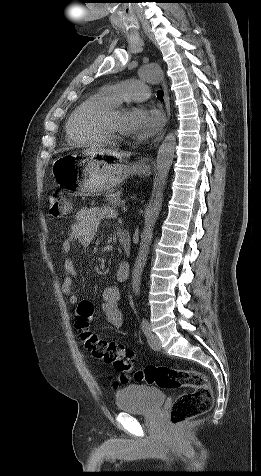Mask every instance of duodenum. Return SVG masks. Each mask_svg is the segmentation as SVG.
Segmentation results:
<instances>
[{
    "label": "duodenum",
    "mask_w": 261,
    "mask_h": 476,
    "mask_svg": "<svg viewBox=\"0 0 261 476\" xmlns=\"http://www.w3.org/2000/svg\"><path fill=\"white\" fill-rule=\"evenodd\" d=\"M118 241L126 254H129L131 251V239L127 232L124 230H119L117 232ZM125 270H129L128 264H126Z\"/></svg>",
    "instance_id": "obj_1"
}]
</instances>
